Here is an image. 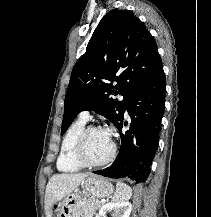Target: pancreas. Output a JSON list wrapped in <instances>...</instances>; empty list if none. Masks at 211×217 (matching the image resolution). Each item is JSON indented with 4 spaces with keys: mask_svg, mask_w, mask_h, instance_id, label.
Wrapping results in <instances>:
<instances>
[{
    "mask_svg": "<svg viewBox=\"0 0 211 217\" xmlns=\"http://www.w3.org/2000/svg\"><path fill=\"white\" fill-rule=\"evenodd\" d=\"M102 203L95 198H84L82 200L81 215L82 217H92L96 210L101 207Z\"/></svg>",
    "mask_w": 211,
    "mask_h": 217,
    "instance_id": "cf45deb5",
    "label": "pancreas"
}]
</instances>
